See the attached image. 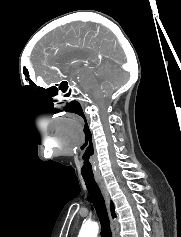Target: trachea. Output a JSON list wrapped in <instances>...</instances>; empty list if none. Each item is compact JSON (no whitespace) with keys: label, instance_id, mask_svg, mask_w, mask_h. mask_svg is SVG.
Segmentation results:
<instances>
[{"label":"trachea","instance_id":"obj_1","mask_svg":"<svg viewBox=\"0 0 181 237\" xmlns=\"http://www.w3.org/2000/svg\"><path fill=\"white\" fill-rule=\"evenodd\" d=\"M84 181L101 223V237H112L109 217L102 193L94 178L84 177Z\"/></svg>","mask_w":181,"mask_h":237}]
</instances>
